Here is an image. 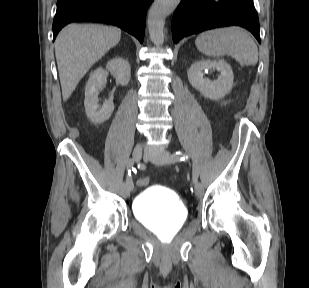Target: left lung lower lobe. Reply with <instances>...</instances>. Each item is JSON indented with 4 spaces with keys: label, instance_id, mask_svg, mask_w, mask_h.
I'll return each instance as SVG.
<instances>
[{
    "label": "left lung lower lobe",
    "instance_id": "left-lung-lower-lobe-1",
    "mask_svg": "<svg viewBox=\"0 0 309 288\" xmlns=\"http://www.w3.org/2000/svg\"><path fill=\"white\" fill-rule=\"evenodd\" d=\"M238 25L260 43L259 21L253 0H182L172 22L173 41L204 30Z\"/></svg>",
    "mask_w": 309,
    "mask_h": 288
}]
</instances>
